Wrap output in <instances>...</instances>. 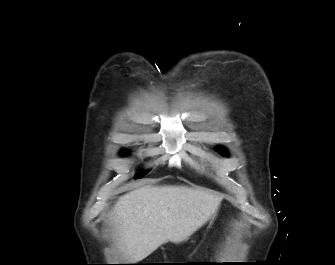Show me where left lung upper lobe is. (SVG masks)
<instances>
[{"label":"left lung upper lobe","mask_w":335,"mask_h":265,"mask_svg":"<svg viewBox=\"0 0 335 265\" xmlns=\"http://www.w3.org/2000/svg\"><path fill=\"white\" fill-rule=\"evenodd\" d=\"M217 151H218L219 153H221L222 155H224V156L227 155L226 151H225L223 148H218Z\"/></svg>","instance_id":"1"}]
</instances>
